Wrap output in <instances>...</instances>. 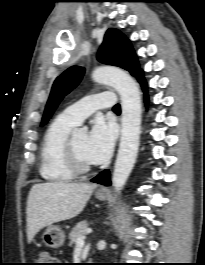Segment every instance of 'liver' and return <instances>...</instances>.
Wrapping results in <instances>:
<instances>
[{
  "mask_svg": "<svg viewBox=\"0 0 205 265\" xmlns=\"http://www.w3.org/2000/svg\"><path fill=\"white\" fill-rule=\"evenodd\" d=\"M96 184L47 182L32 186L27 199V239L44 227L78 216Z\"/></svg>",
  "mask_w": 205,
  "mask_h": 265,
  "instance_id": "1",
  "label": "liver"
}]
</instances>
